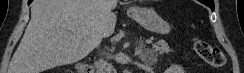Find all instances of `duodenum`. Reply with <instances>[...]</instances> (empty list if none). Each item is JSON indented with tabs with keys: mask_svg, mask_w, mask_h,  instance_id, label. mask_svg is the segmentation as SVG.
I'll list each match as a JSON object with an SVG mask.
<instances>
[{
	"mask_svg": "<svg viewBox=\"0 0 244 73\" xmlns=\"http://www.w3.org/2000/svg\"><path fill=\"white\" fill-rule=\"evenodd\" d=\"M81 72H82V73H90V70L87 69L86 67H83V69H82Z\"/></svg>",
	"mask_w": 244,
	"mask_h": 73,
	"instance_id": "duodenum-1",
	"label": "duodenum"
}]
</instances>
